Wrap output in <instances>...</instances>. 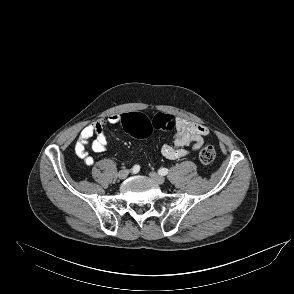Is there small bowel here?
Listing matches in <instances>:
<instances>
[{
    "instance_id": "obj_1",
    "label": "small bowel",
    "mask_w": 294,
    "mask_h": 294,
    "mask_svg": "<svg viewBox=\"0 0 294 294\" xmlns=\"http://www.w3.org/2000/svg\"><path fill=\"white\" fill-rule=\"evenodd\" d=\"M122 116L112 114L82 129L75 145V153L86 165L91 166L94 163L93 157L87 151L89 142L91 141V148L94 152H104L108 147V139L104 130L108 125L122 124ZM208 134L209 131L205 126L183 118H177L175 120L173 144L163 145L161 154L170 160L182 158L191 151L198 150L203 144L204 137Z\"/></svg>"
}]
</instances>
